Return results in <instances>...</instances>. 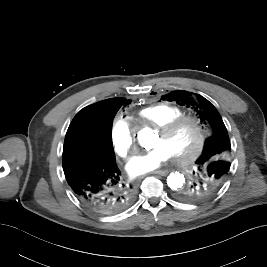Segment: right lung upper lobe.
Instances as JSON below:
<instances>
[{
	"label": "right lung upper lobe",
	"mask_w": 267,
	"mask_h": 267,
	"mask_svg": "<svg viewBox=\"0 0 267 267\" xmlns=\"http://www.w3.org/2000/svg\"><path fill=\"white\" fill-rule=\"evenodd\" d=\"M123 104H128V101L124 98H111L89 105L77 113L71 125H90L105 136L110 131L109 125L104 122L106 110L112 105Z\"/></svg>",
	"instance_id": "obj_1"
}]
</instances>
